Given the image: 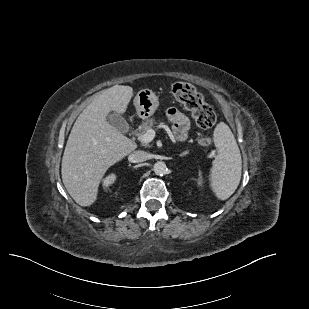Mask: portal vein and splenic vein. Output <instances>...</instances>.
Here are the masks:
<instances>
[{
  "mask_svg": "<svg viewBox=\"0 0 309 309\" xmlns=\"http://www.w3.org/2000/svg\"><path fill=\"white\" fill-rule=\"evenodd\" d=\"M155 137V131L153 129H148L143 135L139 136L138 139L142 143H149Z\"/></svg>",
  "mask_w": 309,
  "mask_h": 309,
  "instance_id": "obj_1",
  "label": "portal vein and splenic vein"
}]
</instances>
